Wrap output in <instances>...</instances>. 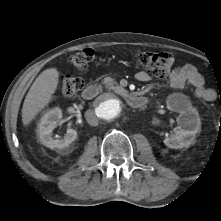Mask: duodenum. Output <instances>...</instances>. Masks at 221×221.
<instances>
[{
	"label": "duodenum",
	"instance_id": "1",
	"mask_svg": "<svg viewBox=\"0 0 221 221\" xmlns=\"http://www.w3.org/2000/svg\"><path fill=\"white\" fill-rule=\"evenodd\" d=\"M102 90V86L99 83H92L88 85L83 91V97L86 100L95 98ZM128 104L133 108H140L146 103V98L142 96L133 95L130 93H124L122 95Z\"/></svg>",
	"mask_w": 221,
	"mask_h": 221
}]
</instances>
